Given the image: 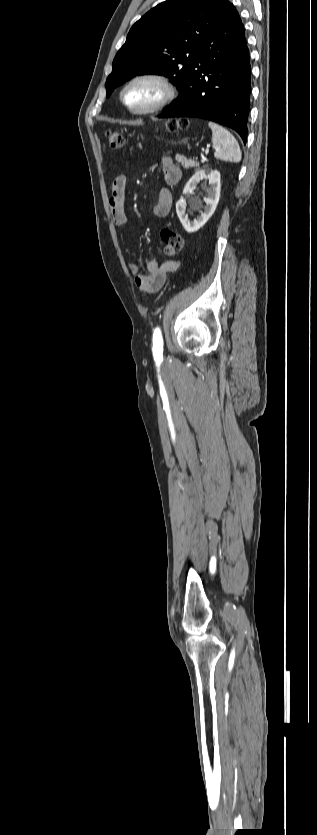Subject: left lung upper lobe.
<instances>
[{
	"instance_id": "5c2ea615",
	"label": "left lung upper lobe",
	"mask_w": 317,
	"mask_h": 835,
	"mask_svg": "<svg viewBox=\"0 0 317 835\" xmlns=\"http://www.w3.org/2000/svg\"><path fill=\"white\" fill-rule=\"evenodd\" d=\"M230 5L228 0H168L151 9L132 26L116 54L107 97L143 74L169 77L181 93L205 40Z\"/></svg>"
}]
</instances>
